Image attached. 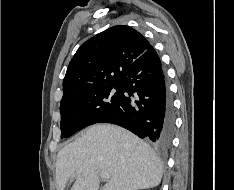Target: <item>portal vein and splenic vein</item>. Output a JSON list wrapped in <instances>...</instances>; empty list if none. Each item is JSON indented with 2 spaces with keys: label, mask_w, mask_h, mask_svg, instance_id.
<instances>
[{
  "label": "portal vein and splenic vein",
  "mask_w": 234,
  "mask_h": 190,
  "mask_svg": "<svg viewBox=\"0 0 234 190\" xmlns=\"http://www.w3.org/2000/svg\"><path fill=\"white\" fill-rule=\"evenodd\" d=\"M101 177H102L103 179H109V178H110V175H109L107 172L102 171V172H101Z\"/></svg>",
  "instance_id": "18ae733b"
}]
</instances>
